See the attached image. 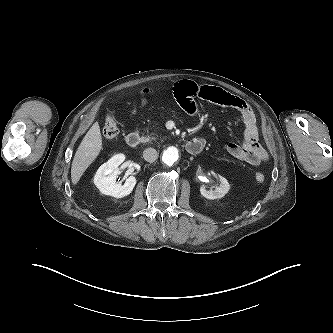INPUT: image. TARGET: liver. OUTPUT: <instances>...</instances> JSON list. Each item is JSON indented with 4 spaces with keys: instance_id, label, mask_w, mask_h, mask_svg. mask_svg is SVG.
I'll return each mask as SVG.
<instances>
[{
    "instance_id": "obj_1",
    "label": "liver",
    "mask_w": 333,
    "mask_h": 333,
    "mask_svg": "<svg viewBox=\"0 0 333 333\" xmlns=\"http://www.w3.org/2000/svg\"><path fill=\"white\" fill-rule=\"evenodd\" d=\"M102 149V136L98 122H95L80 143L71 166V181L76 185L86 169Z\"/></svg>"
}]
</instances>
